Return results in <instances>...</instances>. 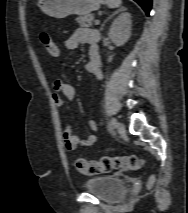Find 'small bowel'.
Returning a JSON list of instances; mask_svg holds the SVG:
<instances>
[{
  "mask_svg": "<svg viewBox=\"0 0 188 213\" xmlns=\"http://www.w3.org/2000/svg\"><path fill=\"white\" fill-rule=\"evenodd\" d=\"M99 32L96 29L80 27L77 28L72 35L65 41L67 50H74L80 44L89 45V61L86 64V71L98 79L103 78L101 59L98 51ZM62 96L68 100H74L76 90L74 86L62 80H57L53 84V92L51 95L52 102L57 108H62L64 103ZM91 131L97 129V123L94 120L89 121ZM97 137L90 134L84 138L74 135L71 131V126L65 124L63 126V142L67 150L73 151L79 147H89L96 143Z\"/></svg>",
  "mask_w": 188,
  "mask_h": 213,
  "instance_id": "small-bowel-1",
  "label": "small bowel"
}]
</instances>
